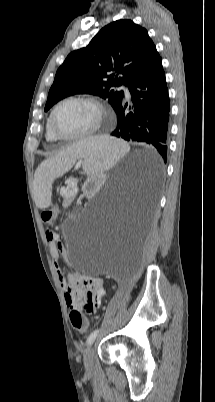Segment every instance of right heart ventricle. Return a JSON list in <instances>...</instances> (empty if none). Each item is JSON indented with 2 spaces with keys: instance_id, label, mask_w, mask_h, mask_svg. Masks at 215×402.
Here are the masks:
<instances>
[{
  "instance_id": "right-heart-ventricle-1",
  "label": "right heart ventricle",
  "mask_w": 215,
  "mask_h": 402,
  "mask_svg": "<svg viewBox=\"0 0 215 402\" xmlns=\"http://www.w3.org/2000/svg\"><path fill=\"white\" fill-rule=\"evenodd\" d=\"M46 138L50 142H55L58 140L50 130L49 121H47V125H46Z\"/></svg>"
}]
</instances>
